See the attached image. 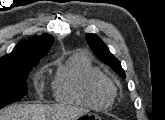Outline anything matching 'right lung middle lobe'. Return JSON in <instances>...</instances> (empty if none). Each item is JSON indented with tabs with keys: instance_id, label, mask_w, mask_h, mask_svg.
<instances>
[{
	"instance_id": "1",
	"label": "right lung middle lobe",
	"mask_w": 165,
	"mask_h": 120,
	"mask_svg": "<svg viewBox=\"0 0 165 120\" xmlns=\"http://www.w3.org/2000/svg\"><path fill=\"white\" fill-rule=\"evenodd\" d=\"M39 60L0 64V108L27 95L26 79Z\"/></svg>"
}]
</instances>
